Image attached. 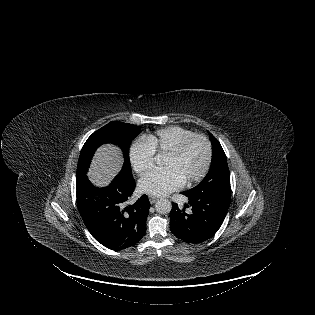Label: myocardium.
Segmentation results:
<instances>
[{
    "label": "myocardium",
    "instance_id": "myocardium-1",
    "mask_svg": "<svg viewBox=\"0 0 315 315\" xmlns=\"http://www.w3.org/2000/svg\"><path fill=\"white\" fill-rule=\"evenodd\" d=\"M195 140H202L205 143L206 158H205V162H204V165H203L201 171L197 175L186 180L187 183H189V184L201 181L207 175V173L210 169L213 151H212V144H211L210 140L208 139V137L203 135V134H193V135L189 136L188 138L179 142L176 146H174L172 149H170L167 152V155L179 156Z\"/></svg>",
    "mask_w": 315,
    "mask_h": 315
}]
</instances>
